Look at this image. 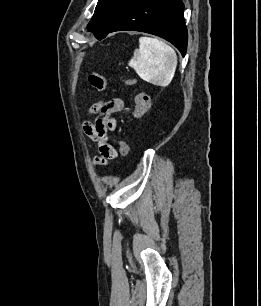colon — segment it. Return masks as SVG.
<instances>
[{"label": "colon", "instance_id": "obj_1", "mask_svg": "<svg viewBox=\"0 0 261 306\" xmlns=\"http://www.w3.org/2000/svg\"><path fill=\"white\" fill-rule=\"evenodd\" d=\"M89 84L97 91H104L107 87L106 78L98 72H90L88 74ZM127 84H133L132 80L126 81ZM135 106L132 110V116L139 118L143 116L150 107V96L144 92L140 91L135 96ZM120 153L123 156H128L130 154V146L125 141L117 142Z\"/></svg>", "mask_w": 261, "mask_h": 306}]
</instances>
